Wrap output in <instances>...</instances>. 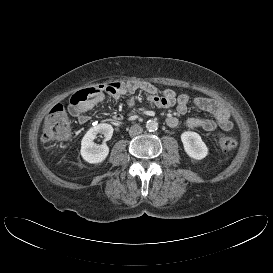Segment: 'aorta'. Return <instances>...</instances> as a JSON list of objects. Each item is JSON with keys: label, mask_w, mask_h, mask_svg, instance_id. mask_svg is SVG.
Masks as SVG:
<instances>
[{"label": "aorta", "mask_w": 273, "mask_h": 273, "mask_svg": "<svg viewBox=\"0 0 273 273\" xmlns=\"http://www.w3.org/2000/svg\"><path fill=\"white\" fill-rule=\"evenodd\" d=\"M146 128L149 131H155L158 128V123L155 120H148L146 123Z\"/></svg>", "instance_id": "762f6f07"}]
</instances>
